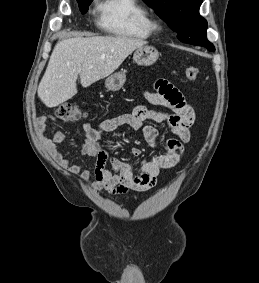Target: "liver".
<instances>
[{
  "label": "liver",
  "instance_id": "obj_1",
  "mask_svg": "<svg viewBox=\"0 0 259 283\" xmlns=\"http://www.w3.org/2000/svg\"><path fill=\"white\" fill-rule=\"evenodd\" d=\"M145 41L126 36L74 37L59 41L38 86V97L56 107L77 94L78 75L83 87L112 74Z\"/></svg>",
  "mask_w": 259,
  "mask_h": 283
}]
</instances>
